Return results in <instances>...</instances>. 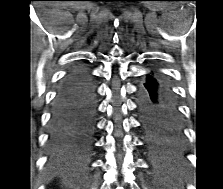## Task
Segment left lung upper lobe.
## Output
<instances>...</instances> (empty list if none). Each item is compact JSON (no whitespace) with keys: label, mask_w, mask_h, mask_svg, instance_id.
Segmentation results:
<instances>
[{"label":"left lung upper lobe","mask_w":223,"mask_h":189,"mask_svg":"<svg viewBox=\"0 0 223 189\" xmlns=\"http://www.w3.org/2000/svg\"><path fill=\"white\" fill-rule=\"evenodd\" d=\"M143 128L149 145L156 152L172 149L179 142L177 135L169 133L164 128L146 124L143 125Z\"/></svg>","instance_id":"1"}]
</instances>
